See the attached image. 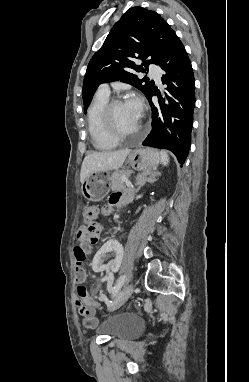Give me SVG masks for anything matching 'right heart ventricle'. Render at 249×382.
Instances as JSON below:
<instances>
[{
    "label": "right heart ventricle",
    "mask_w": 249,
    "mask_h": 382,
    "mask_svg": "<svg viewBox=\"0 0 249 382\" xmlns=\"http://www.w3.org/2000/svg\"><path fill=\"white\" fill-rule=\"evenodd\" d=\"M109 100V94L98 92L88 109V130L93 146L98 150H111L118 144L108 136L102 124V110Z\"/></svg>",
    "instance_id": "e07e8e85"
}]
</instances>
